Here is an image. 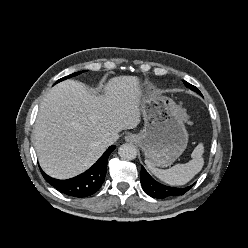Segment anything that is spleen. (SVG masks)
<instances>
[{
	"instance_id": "spleen-1",
	"label": "spleen",
	"mask_w": 248,
	"mask_h": 248,
	"mask_svg": "<svg viewBox=\"0 0 248 248\" xmlns=\"http://www.w3.org/2000/svg\"><path fill=\"white\" fill-rule=\"evenodd\" d=\"M204 146L199 143L193 150L192 160L185 164H176L175 166L162 170L155 168L149 161L145 160L148 169L157 178L171 186H179L188 183L196 174H198L204 164L203 159Z\"/></svg>"
}]
</instances>
